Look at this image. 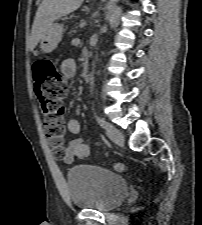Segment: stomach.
Wrapping results in <instances>:
<instances>
[{
    "label": "stomach",
    "instance_id": "1",
    "mask_svg": "<svg viewBox=\"0 0 202 225\" xmlns=\"http://www.w3.org/2000/svg\"><path fill=\"white\" fill-rule=\"evenodd\" d=\"M64 26L53 23L42 35L40 39V48L43 53H51L56 49L62 39Z\"/></svg>",
    "mask_w": 202,
    "mask_h": 225
}]
</instances>
